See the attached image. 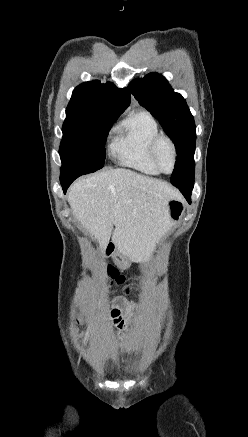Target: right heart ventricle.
Instances as JSON below:
<instances>
[{"mask_svg": "<svg viewBox=\"0 0 248 437\" xmlns=\"http://www.w3.org/2000/svg\"><path fill=\"white\" fill-rule=\"evenodd\" d=\"M159 134V124L150 112L140 110L131 113L115 130L111 144L112 155L125 167L157 176L160 172L151 160L150 145Z\"/></svg>", "mask_w": 248, "mask_h": 437, "instance_id": "e07e8e85", "label": "right heart ventricle"}]
</instances>
